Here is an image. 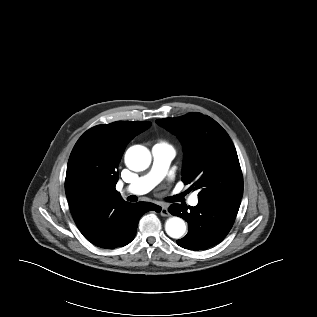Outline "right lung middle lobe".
Returning a JSON list of instances; mask_svg holds the SVG:
<instances>
[{
	"label": "right lung middle lobe",
	"instance_id": "dd1d6c3e",
	"mask_svg": "<svg viewBox=\"0 0 317 317\" xmlns=\"http://www.w3.org/2000/svg\"><path fill=\"white\" fill-rule=\"evenodd\" d=\"M88 195H94V194H91V193H87Z\"/></svg>",
	"mask_w": 317,
	"mask_h": 317
}]
</instances>
